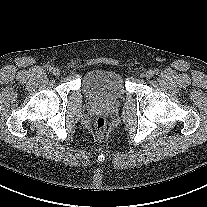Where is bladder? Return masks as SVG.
Instances as JSON below:
<instances>
[{
  "label": "bladder",
  "instance_id": "obj_1",
  "mask_svg": "<svg viewBox=\"0 0 207 207\" xmlns=\"http://www.w3.org/2000/svg\"><path fill=\"white\" fill-rule=\"evenodd\" d=\"M85 94L94 101L112 102L124 97L125 81L122 74L114 69H96L83 80Z\"/></svg>",
  "mask_w": 207,
  "mask_h": 207
}]
</instances>
